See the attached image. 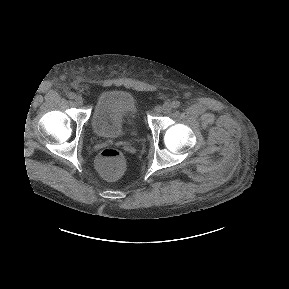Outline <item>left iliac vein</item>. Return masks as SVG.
Wrapping results in <instances>:
<instances>
[{"label":"left iliac vein","instance_id":"left-iliac-vein-1","mask_svg":"<svg viewBox=\"0 0 289 289\" xmlns=\"http://www.w3.org/2000/svg\"><path fill=\"white\" fill-rule=\"evenodd\" d=\"M171 109H172L171 104H170V103H165V104H163V105L161 106L160 111H161L162 113H169V112L171 111Z\"/></svg>","mask_w":289,"mask_h":289}]
</instances>
